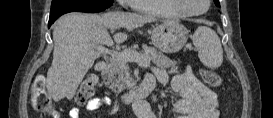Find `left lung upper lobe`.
Returning <instances> with one entry per match:
<instances>
[{
	"instance_id": "5c2ea615",
	"label": "left lung upper lobe",
	"mask_w": 273,
	"mask_h": 118,
	"mask_svg": "<svg viewBox=\"0 0 273 118\" xmlns=\"http://www.w3.org/2000/svg\"><path fill=\"white\" fill-rule=\"evenodd\" d=\"M216 6L220 7L219 0H214Z\"/></svg>"
}]
</instances>
